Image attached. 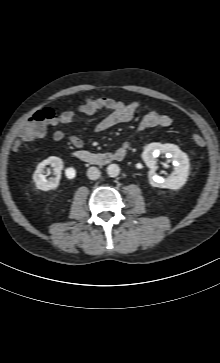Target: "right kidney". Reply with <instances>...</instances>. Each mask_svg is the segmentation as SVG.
Returning a JSON list of instances; mask_svg holds the SVG:
<instances>
[{
    "label": "right kidney",
    "mask_w": 220,
    "mask_h": 363,
    "mask_svg": "<svg viewBox=\"0 0 220 363\" xmlns=\"http://www.w3.org/2000/svg\"><path fill=\"white\" fill-rule=\"evenodd\" d=\"M47 165H51L56 177L52 180H47L44 175V168ZM63 161L59 157L51 156L37 165V168L33 174V180L36 187L43 191L55 190L59 185L61 177V170L63 169Z\"/></svg>",
    "instance_id": "right-kidney-1"
}]
</instances>
